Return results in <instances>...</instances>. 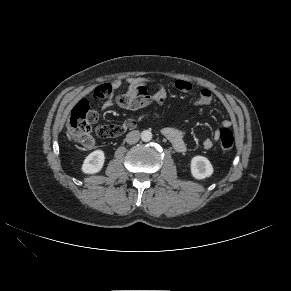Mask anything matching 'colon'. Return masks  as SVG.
Here are the masks:
<instances>
[{
    "mask_svg": "<svg viewBox=\"0 0 291 291\" xmlns=\"http://www.w3.org/2000/svg\"><path fill=\"white\" fill-rule=\"evenodd\" d=\"M96 98H104L105 91L97 88L94 92ZM97 120V113L89 106L88 101L80 100L72 109L71 115L66 125L67 136L84 146L92 144L91 125ZM133 119H127L119 125H102L98 126L96 133L101 138H112L121 135L123 132L132 129L135 126ZM220 147L228 151L234 146V135L228 128L220 131Z\"/></svg>",
    "mask_w": 291,
    "mask_h": 291,
    "instance_id": "colon-1",
    "label": "colon"
}]
</instances>
